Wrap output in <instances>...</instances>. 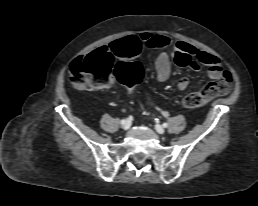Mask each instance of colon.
<instances>
[{"label":"colon","mask_w":258,"mask_h":206,"mask_svg":"<svg viewBox=\"0 0 258 206\" xmlns=\"http://www.w3.org/2000/svg\"><path fill=\"white\" fill-rule=\"evenodd\" d=\"M141 76L142 67L138 62H118L115 64L113 57L101 50L80 56L73 60L70 65V80L72 85L78 89H87L115 77L127 89L131 90ZM231 88V74L224 71L220 79L206 84L198 92L188 94L183 103L186 107L196 108L218 96L227 95Z\"/></svg>","instance_id":"colon-1"}]
</instances>
